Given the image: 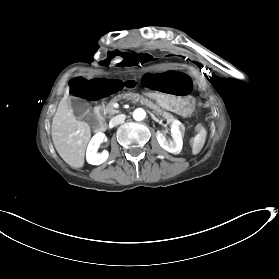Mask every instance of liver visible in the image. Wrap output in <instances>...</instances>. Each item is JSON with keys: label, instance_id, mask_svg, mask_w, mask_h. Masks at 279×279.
Instances as JSON below:
<instances>
[{"label": "liver", "instance_id": "1", "mask_svg": "<svg viewBox=\"0 0 279 279\" xmlns=\"http://www.w3.org/2000/svg\"><path fill=\"white\" fill-rule=\"evenodd\" d=\"M51 135L61 158L71 167H82L91 131L86 122L78 121L74 116L69 106L68 93L59 102L52 120Z\"/></svg>", "mask_w": 279, "mask_h": 279}]
</instances>
